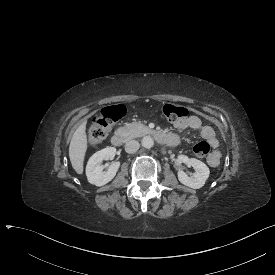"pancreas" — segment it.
<instances>
[{
    "label": "pancreas",
    "instance_id": "obj_1",
    "mask_svg": "<svg viewBox=\"0 0 275 275\" xmlns=\"http://www.w3.org/2000/svg\"><path fill=\"white\" fill-rule=\"evenodd\" d=\"M151 130L143 125L140 122H132L129 124H126L123 127L118 128L115 131V134L123 136L125 138V141H129L131 139L144 136L148 133H150Z\"/></svg>",
    "mask_w": 275,
    "mask_h": 275
}]
</instances>
